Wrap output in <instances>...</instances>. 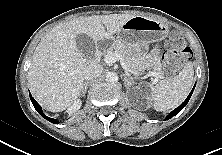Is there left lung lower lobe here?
Masks as SVG:
<instances>
[{"label":"left lung lower lobe","instance_id":"left-lung-lower-lobe-1","mask_svg":"<svg viewBox=\"0 0 222 155\" xmlns=\"http://www.w3.org/2000/svg\"><path fill=\"white\" fill-rule=\"evenodd\" d=\"M194 88H195V85H194L191 93L189 94V96L186 98V100L178 108H176L169 115H167L165 120H168V119L172 118L173 116L177 115L186 106V104L188 103V101L193 93Z\"/></svg>","mask_w":222,"mask_h":155}]
</instances>
